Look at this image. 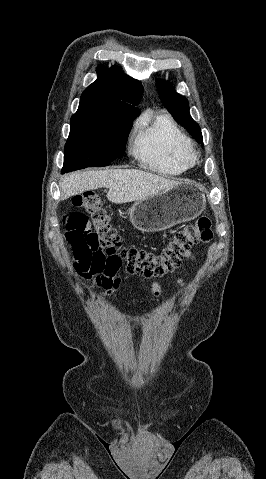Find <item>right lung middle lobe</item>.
<instances>
[{
    "label": "right lung middle lobe",
    "instance_id": "dd1d6c3e",
    "mask_svg": "<svg viewBox=\"0 0 266 479\" xmlns=\"http://www.w3.org/2000/svg\"><path fill=\"white\" fill-rule=\"evenodd\" d=\"M62 173L86 167L108 166L122 157L132 120L71 118Z\"/></svg>",
    "mask_w": 266,
    "mask_h": 479
}]
</instances>
